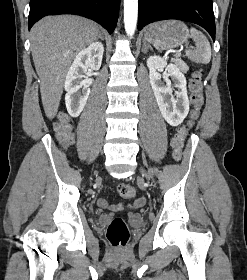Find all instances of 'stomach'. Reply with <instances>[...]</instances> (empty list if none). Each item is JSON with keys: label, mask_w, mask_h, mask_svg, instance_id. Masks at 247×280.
I'll use <instances>...</instances> for the list:
<instances>
[{"label": "stomach", "mask_w": 247, "mask_h": 280, "mask_svg": "<svg viewBox=\"0 0 247 280\" xmlns=\"http://www.w3.org/2000/svg\"><path fill=\"white\" fill-rule=\"evenodd\" d=\"M189 30L184 22L178 20L160 21L150 25L144 35L145 41L156 49H174L186 43Z\"/></svg>", "instance_id": "stomach-1"}]
</instances>
